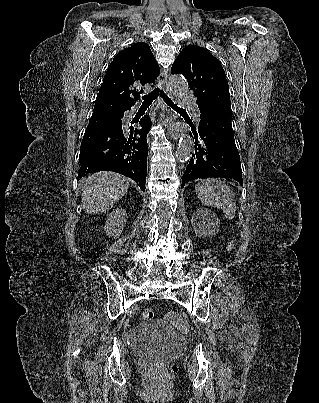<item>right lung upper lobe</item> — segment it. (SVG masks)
I'll list each match as a JSON object with an SVG mask.
<instances>
[{
  "mask_svg": "<svg viewBox=\"0 0 319 403\" xmlns=\"http://www.w3.org/2000/svg\"><path fill=\"white\" fill-rule=\"evenodd\" d=\"M158 74L159 65L146 43L123 49L107 69L94 109L112 112L131 109L142 93L133 90L134 86L154 83Z\"/></svg>",
  "mask_w": 319,
  "mask_h": 403,
  "instance_id": "right-lung-upper-lobe-1",
  "label": "right lung upper lobe"
}]
</instances>
